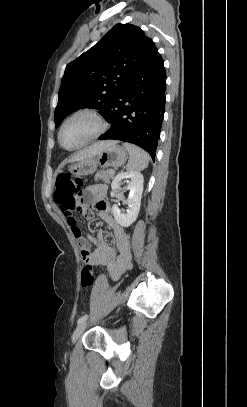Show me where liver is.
<instances>
[{
	"label": "liver",
	"mask_w": 247,
	"mask_h": 407,
	"mask_svg": "<svg viewBox=\"0 0 247 407\" xmlns=\"http://www.w3.org/2000/svg\"><path fill=\"white\" fill-rule=\"evenodd\" d=\"M115 143L113 141H101V142H96L93 145L78 151L76 154H74L71 158L67 160L68 163L71 162H78L82 159H85L87 157L94 156L101 151H103L108 145Z\"/></svg>",
	"instance_id": "1"
}]
</instances>
